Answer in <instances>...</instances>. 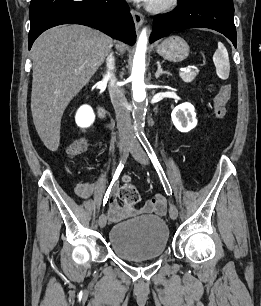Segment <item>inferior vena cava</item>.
<instances>
[{
  "instance_id": "obj_1",
  "label": "inferior vena cava",
  "mask_w": 261,
  "mask_h": 306,
  "mask_svg": "<svg viewBox=\"0 0 261 306\" xmlns=\"http://www.w3.org/2000/svg\"><path fill=\"white\" fill-rule=\"evenodd\" d=\"M107 74L105 79L109 80V94L115 109L117 128L119 134H131L130 111L127 108V100L123 90L117 85L114 74L115 59L112 53L107 56Z\"/></svg>"
}]
</instances>
